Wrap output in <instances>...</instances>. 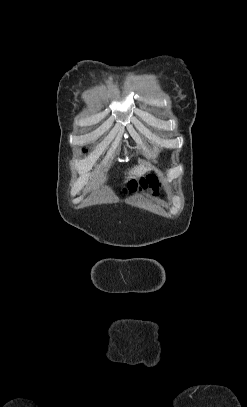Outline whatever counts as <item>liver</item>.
Returning a JSON list of instances; mask_svg holds the SVG:
<instances>
[{
    "label": "liver",
    "mask_w": 247,
    "mask_h": 407,
    "mask_svg": "<svg viewBox=\"0 0 247 407\" xmlns=\"http://www.w3.org/2000/svg\"><path fill=\"white\" fill-rule=\"evenodd\" d=\"M148 168H146L144 165H138L135 166L133 169H131L128 173V178H134L143 175Z\"/></svg>",
    "instance_id": "1"
}]
</instances>
